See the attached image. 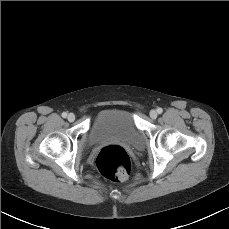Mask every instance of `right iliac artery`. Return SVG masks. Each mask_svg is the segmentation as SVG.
<instances>
[{
	"label": "right iliac artery",
	"mask_w": 229,
	"mask_h": 229,
	"mask_svg": "<svg viewBox=\"0 0 229 229\" xmlns=\"http://www.w3.org/2000/svg\"><path fill=\"white\" fill-rule=\"evenodd\" d=\"M62 117H63V118H66V117H67V113H66V112H63V113H62Z\"/></svg>",
	"instance_id": "obj_1"
}]
</instances>
